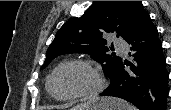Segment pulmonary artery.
Here are the masks:
<instances>
[{
    "label": "pulmonary artery",
    "instance_id": "obj_1",
    "mask_svg": "<svg viewBox=\"0 0 171 110\" xmlns=\"http://www.w3.org/2000/svg\"><path fill=\"white\" fill-rule=\"evenodd\" d=\"M115 47L117 48V50L123 54H126L128 51V46L126 44V42L122 39H118L115 41Z\"/></svg>",
    "mask_w": 171,
    "mask_h": 110
}]
</instances>
